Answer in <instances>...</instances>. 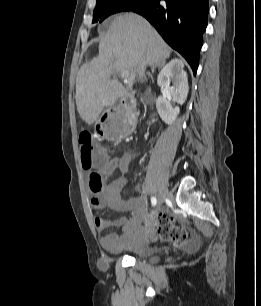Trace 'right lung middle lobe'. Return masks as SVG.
<instances>
[{
  "label": "right lung middle lobe",
  "mask_w": 261,
  "mask_h": 306,
  "mask_svg": "<svg viewBox=\"0 0 261 306\" xmlns=\"http://www.w3.org/2000/svg\"><path fill=\"white\" fill-rule=\"evenodd\" d=\"M142 0H97L93 12V23L102 22L111 14L130 11L135 5Z\"/></svg>",
  "instance_id": "1"
}]
</instances>
